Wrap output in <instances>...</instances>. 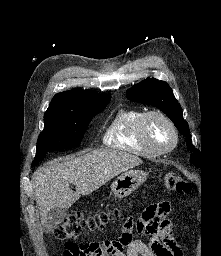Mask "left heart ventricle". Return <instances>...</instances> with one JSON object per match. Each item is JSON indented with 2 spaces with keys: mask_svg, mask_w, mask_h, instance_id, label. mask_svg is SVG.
<instances>
[{
  "mask_svg": "<svg viewBox=\"0 0 221 256\" xmlns=\"http://www.w3.org/2000/svg\"><path fill=\"white\" fill-rule=\"evenodd\" d=\"M146 134L150 142L157 148H166L173 142L170 127L158 117H151L147 121Z\"/></svg>",
  "mask_w": 221,
  "mask_h": 256,
  "instance_id": "1",
  "label": "left heart ventricle"
}]
</instances>
